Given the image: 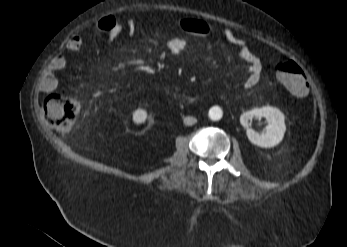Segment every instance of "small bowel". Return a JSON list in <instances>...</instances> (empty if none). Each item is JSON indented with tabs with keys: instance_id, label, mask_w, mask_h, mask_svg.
<instances>
[{
	"instance_id": "small-bowel-1",
	"label": "small bowel",
	"mask_w": 347,
	"mask_h": 247,
	"mask_svg": "<svg viewBox=\"0 0 347 247\" xmlns=\"http://www.w3.org/2000/svg\"><path fill=\"white\" fill-rule=\"evenodd\" d=\"M177 25L183 30L184 34L167 41L168 51L177 56L184 52L189 45V39L207 40L215 32L213 27L200 19L185 18L177 20ZM98 31L107 35V40L111 41L118 37L125 29L128 34H133L137 29V23L134 20H128L125 24L117 21L113 16H106L98 20L95 24ZM230 46L237 51L238 57L250 67L249 74L244 81L247 88L254 87L260 78L262 69L261 59L248 46L243 37L234 30L223 28L217 32ZM83 45V39L80 35H72L65 44V49L69 52H78ZM66 59L61 56H55L47 65L46 70L41 75L38 86L44 93L54 92L59 84L58 75L65 68ZM184 97H188L183 92Z\"/></svg>"
}]
</instances>
